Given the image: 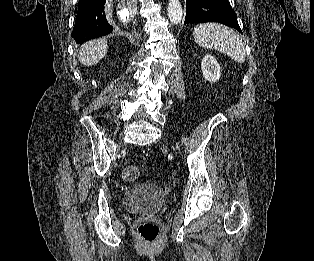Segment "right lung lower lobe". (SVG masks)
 I'll list each match as a JSON object with an SVG mask.
<instances>
[{"mask_svg": "<svg viewBox=\"0 0 314 261\" xmlns=\"http://www.w3.org/2000/svg\"><path fill=\"white\" fill-rule=\"evenodd\" d=\"M106 0H80L72 37L78 44L87 40L108 35L113 27L105 15Z\"/></svg>", "mask_w": 314, "mask_h": 261, "instance_id": "obj_1", "label": "right lung lower lobe"}]
</instances>
